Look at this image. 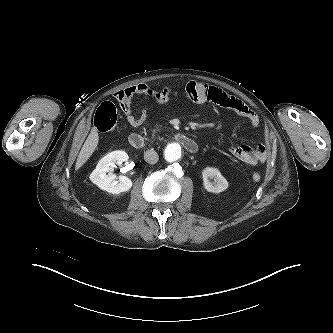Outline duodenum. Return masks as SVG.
I'll return each mask as SVG.
<instances>
[{
    "mask_svg": "<svg viewBox=\"0 0 333 333\" xmlns=\"http://www.w3.org/2000/svg\"><path fill=\"white\" fill-rule=\"evenodd\" d=\"M174 140L177 141L187 152L196 153L198 151V145L194 139L188 135L177 132L173 136ZM129 143L133 148L140 149L145 145V139L138 133H132L129 136Z\"/></svg>",
    "mask_w": 333,
    "mask_h": 333,
    "instance_id": "obj_1",
    "label": "duodenum"
}]
</instances>
